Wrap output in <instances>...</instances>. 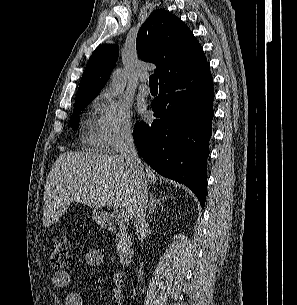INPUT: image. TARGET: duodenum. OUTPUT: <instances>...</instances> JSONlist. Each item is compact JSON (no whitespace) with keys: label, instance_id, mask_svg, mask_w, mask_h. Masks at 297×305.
Instances as JSON below:
<instances>
[{"label":"duodenum","instance_id":"duodenum-1","mask_svg":"<svg viewBox=\"0 0 297 305\" xmlns=\"http://www.w3.org/2000/svg\"><path fill=\"white\" fill-rule=\"evenodd\" d=\"M100 225L108 230L114 229V222L109 215H102L99 219ZM134 258V251L131 246L130 240L127 236L121 240V248L119 252V261L122 265L128 266Z\"/></svg>","mask_w":297,"mask_h":305}]
</instances>
